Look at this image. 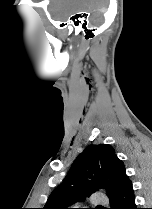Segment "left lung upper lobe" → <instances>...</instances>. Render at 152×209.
Instances as JSON below:
<instances>
[{"label": "left lung upper lobe", "mask_w": 152, "mask_h": 209, "mask_svg": "<svg viewBox=\"0 0 152 209\" xmlns=\"http://www.w3.org/2000/svg\"><path fill=\"white\" fill-rule=\"evenodd\" d=\"M128 179L125 165L108 144L89 145L75 159L64 181L50 194L43 209H70L100 188L112 198Z\"/></svg>", "instance_id": "obj_1"}]
</instances>
